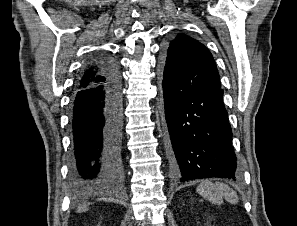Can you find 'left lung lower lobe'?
Listing matches in <instances>:
<instances>
[{
  "label": "left lung lower lobe",
  "instance_id": "left-lung-lower-lobe-1",
  "mask_svg": "<svg viewBox=\"0 0 297 226\" xmlns=\"http://www.w3.org/2000/svg\"><path fill=\"white\" fill-rule=\"evenodd\" d=\"M165 119L180 182L239 175L223 90H195L163 70Z\"/></svg>",
  "mask_w": 297,
  "mask_h": 226
}]
</instances>
